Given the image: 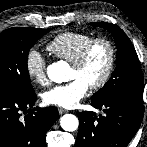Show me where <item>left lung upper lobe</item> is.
<instances>
[{
  "label": "left lung upper lobe",
  "instance_id": "5c2ea615",
  "mask_svg": "<svg viewBox=\"0 0 147 147\" xmlns=\"http://www.w3.org/2000/svg\"><path fill=\"white\" fill-rule=\"evenodd\" d=\"M109 30L117 46L116 68L108 82L96 92L92 101L126 98L143 103V78L139 59L130 39L117 25L105 22L90 23Z\"/></svg>",
  "mask_w": 147,
  "mask_h": 147
}]
</instances>
